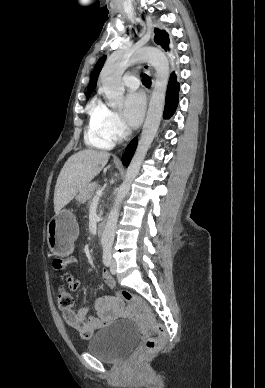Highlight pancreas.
<instances>
[{"instance_id":"obj_1","label":"pancreas","mask_w":265,"mask_h":388,"mask_svg":"<svg viewBox=\"0 0 265 388\" xmlns=\"http://www.w3.org/2000/svg\"><path fill=\"white\" fill-rule=\"evenodd\" d=\"M98 186L99 184H97V182H90V184L81 188L79 194L76 196V200H78L80 204H85L87 200H91V198H93L94 192ZM98 216H103V212H99Z\"/></svg>"}]
</instances>
